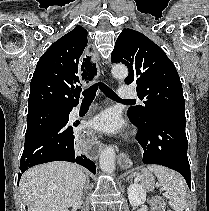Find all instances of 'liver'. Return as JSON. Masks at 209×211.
I'll use <instances>...</instances> for the list:
<instances>
[{"instance_id":"6515ba94","label":"liver","mask_w":209,"mask_h":211,"mask_svg":"<svg viewBox=\"0 0 209 211\" xmlns=\"http://www.w3.org/2000/svg\"><path fill=\"white\" fill-rule=\"evenodd\" d=\"M85 182L79 166L55 161L28 169L19 189L28 211H64L81 200Z\"/></svg>"}]
</instances>
